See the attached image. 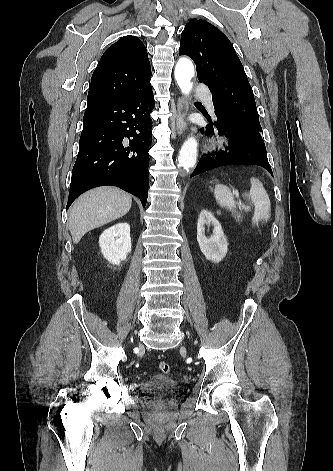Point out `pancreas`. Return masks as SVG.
<instances>
[{"label": "pancreas", "instance_id": "obj_1", "mask_svg": "<svg viewBox=\"0 0 333 471\" xmlns=\"http://www.w3.org/2000/svg\"><path fill=\"white\" fill-rule=\"evenodd\" d=\"M233 217L237 223L242 222L243 216L240 213L233 214Z\"/></svg>", "mask_w": 333, "mask_h": 471}]
</instances>
